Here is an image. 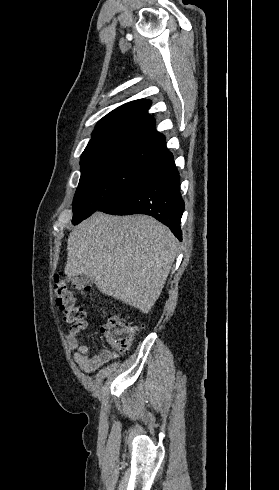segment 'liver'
<instances>
[{"instance_id": "1", "label": "liver", "mask_w": 279, "mask_h": 490, "mask_svg": "<svg viewBox=\"0 0 279 490\" xmlns=\"http://www.w3.org/2000/svg\"><path fill=\"white\" fill-rule=\"evenodd\" d=\"M178 242L151 216L95 212L71 232L67 278L89 276L102 294L151 312L176 258Z\"/></svg>"}]
</instances>
